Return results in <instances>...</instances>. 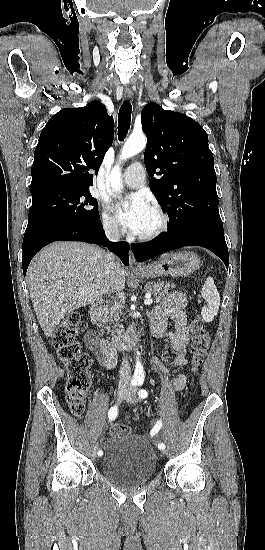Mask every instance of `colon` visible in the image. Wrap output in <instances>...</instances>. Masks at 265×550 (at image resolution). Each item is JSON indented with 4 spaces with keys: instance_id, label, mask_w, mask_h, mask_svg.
Returning <instances> with one entry per match:
<instances>
[{
    "instance_id": "5ec220e1",
    "label": "colon",
    "mask_w": 265,
    "mask_h": 550,
    "mask_svg": "<svg viewBox=\"0 0 265 550\" xmlns=\"http://www.w3.org/2000/svg\"><path fill=\"white\" fill-rule=\"evenodd\" d=\"M83 329L84 324L81 321L80 313L71 312L58 325L52 337L56 356L67 372L65 387L67 402L71 412L77 416L84 412V397L92 383L91 358L81 350L76 340L77 334ZM190 329L192 335L190 371L194 374L208 354L212 336L199 316L192 319ZM129 434L130 428L122 424L114 425L110 430V435L113 438Z\"/></svg>"
}]
</instances>
